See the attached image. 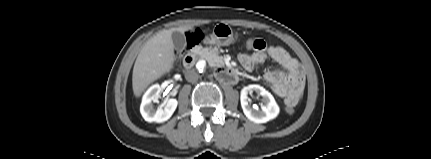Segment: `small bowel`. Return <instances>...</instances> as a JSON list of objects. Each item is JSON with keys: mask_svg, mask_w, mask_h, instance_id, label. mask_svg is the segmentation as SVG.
Here are the masks:
<instances>
[{"mask_svg": "<svg viewBox=\"0 0 431 159\" xmlns=\"http://www.w3.org/2000/svg\"><path fill=\"white\" fill-rule=\"evenodd\" d=\"M254 39L255 44L252 53H240L238 60L248 71L263 63L267 56L280 64L284 70H270L265 74V80L272 92L278 97L284 98L283 103L295 108L302 101L304 89V77L300 70L298 61L292 57L284 48L278 45H267L260 38Z\"/></svg>", "mask_w": 431, "mask_h": 159, "instance_id": "c3829d8e", "label": "small bowel"}]
</instances>
